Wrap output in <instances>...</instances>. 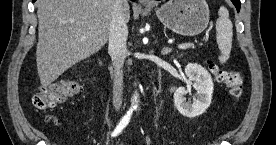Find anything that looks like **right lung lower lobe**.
<instances>
[{
    "label": "right lung lower lobe",
    "mask_w": 276,
    "mask_h": 145,
    "mask_svg": "<svg viewBox=\"0 0 276 145\" xmlns=\"http://www.w3.org/2000/svg\"><path fill=\"white\" fill-rule=\"evenodd\" d=\"M33 2H35L36 0H32ZM132 1H135V0H132Z\"/></svg>",
    "instance_id": "right-lung-lower-lobe-1"
}]
</instances>
